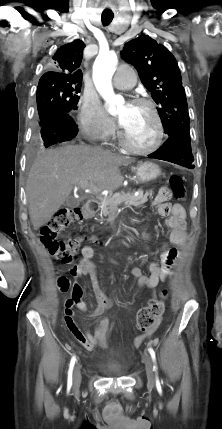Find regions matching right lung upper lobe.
I'll return each mask as SVG.
<instances>
[{"mask_svg": "<svg viewBox=\"0 0 222 429\" xmlns=\"http://www.w3.org/2000/svg\"><path fill=\"white\" fill-rule=\"evenodd\" d=\"M85 44L77 39L57 49L52 57V71L45 73L42 80H70L81 82L82 72L79 66L83 57Z\"/></svg>", "mask_w": 222, "mask_h": 429, "instance_id": "cb5924a9", "label": "right lung upper lobe"}]
</instances>
